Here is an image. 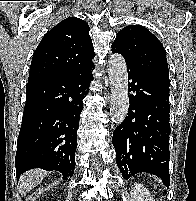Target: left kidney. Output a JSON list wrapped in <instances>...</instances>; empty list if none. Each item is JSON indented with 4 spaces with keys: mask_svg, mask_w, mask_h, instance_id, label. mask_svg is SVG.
<instances>
[{
    "mask_svg": "<svg viewBox=\"0 0 196 201\" xmlns=\"http://www.w3.org/2000/svg\"><path fill=\"white\" fill-rule=\"evenodd\" d=\"M130 195L131 201H154L149 191L142 184H134Z\"/></svg>",
    "mask_w": 196,
    "mask_h": 201,
    "instance_id": "obj_1",
    "label": "left kidney"
}]
</instances>
